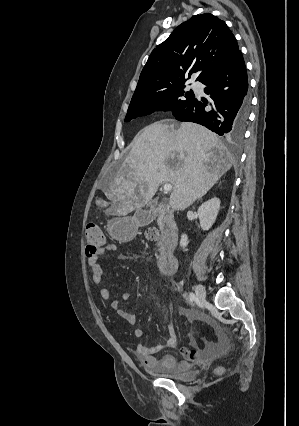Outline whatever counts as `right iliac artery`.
Returning <instances> with one entry per match:
<instances>
[{
  "label": "right iliac artery",
  "mask_w": 299,
  "mask_h": 426,
  "mask_svg": "<svg viewBox=\"0 0 299 426\" xmlns=\"http://www.w3.org/2000/svg\"><path fill=\"white\" fill-rule=\"evenodd\" d=\"M189 301L190 302H193V301H195V299H196V297H195V295L191 292V293H189Z\"/></svg>",
  "instance_id": "1"
}]
</instances>
